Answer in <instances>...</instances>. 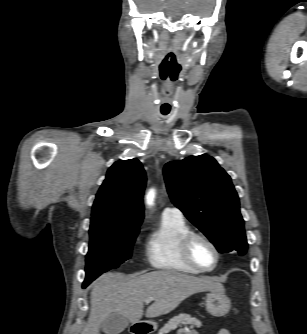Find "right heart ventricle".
<instances>
[{
  "label": "right heart ventricle",
  "instance_id": "obj_1",
  "mask_svg": "<svg viewBox=\"0 0 307 334\" xmlns=\"http://www.w3.org/2000/svg\"><path fill=\"white\" fill-rule=\"evenodd\" d=\"M189 232L191 228L183 218L162 215L157 228L150 233L145 245L148 264L154 269L167 272L200 273L184 260L181 253V240Z\"/></svg>",
  "mask_w": 307,
  "mask_h": 334
}]
</instances>
